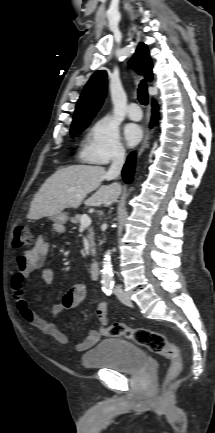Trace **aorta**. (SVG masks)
<instances>
[{"label":"aorta","instance_id":"1","mask_svg":"<svg viewBox=\"0 0 215 433\" xmlns=\"http://www.w3.org/2000/svg\"><path fill=\"white\" fill-rule=\"evenodd\" d=\"M111 251L108 250L105 252L104 261H103V270H102V283L104 285H112L113 282V272L111 265Z\"/></svg>","mask_w":215,"mask_h":433}]
</instances>
